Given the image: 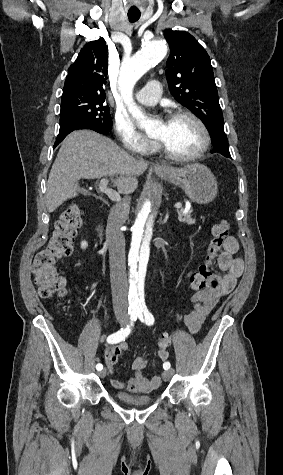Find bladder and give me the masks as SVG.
<instances>
[{"mask_svg": "<svg viewBox=\"0 0 283 475\" xmlns=\"http://www.w3.org/2000/svg\"><path fill=\"white\" fill-rule=\"evenodd\" d=\"M112 396L116 401L121 402L124 405L137 407L149 406L155 400L154 395H135L126 391H115Z\"/></svg>", "mask_w": 283, "mask_h": 475, "instance_id": "1", "label": "bladder"}]
</instances>
